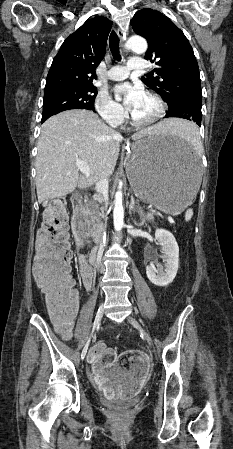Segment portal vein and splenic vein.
<instances>
[{
	"label": "portal vein and splenic vein",
	"mask_w": 233,
	"mask_h": 449,
	"mask_svg": "<svg viewBox=\"0 0 233 449\" xmlns=\"http://www.w3.org/2000/svg\"><path fill=\"white\" fill-rule=\"evenodd\" d=\"M76 165H77L78 169H79L84 175H86V176H89V175H90V168H89V166H88L85 162L80 161V160H77V161H76ZM151 212H152V213H158V211H156L155 209H151Z\"/></svg>",
	"instance_id": "obj_1"
}]
</instances>
